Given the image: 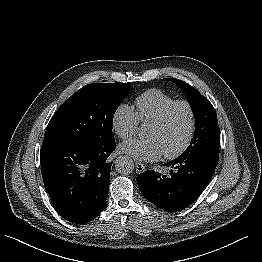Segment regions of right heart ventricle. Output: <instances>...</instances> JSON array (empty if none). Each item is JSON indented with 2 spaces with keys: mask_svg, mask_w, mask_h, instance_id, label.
Segmentation results:
<instances>
[{
  "mask_svg": "<svg viewBox=\"0 0 262 262\" xmlns=\"http://www.w3.org/2000/svg\"><path fill=\"white\" fill-rule=\"evenodd\" d=\"M175 98L160 89H149L134 100L135 113L141 123H150Z\"/></svg>",
  "mask_w": 262,
  "mask_h": 262,
  "instance_id": "right-heart-ventricle-1",
  "label": "right heart ventricle"
}]
</instances>
